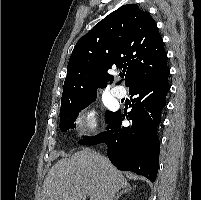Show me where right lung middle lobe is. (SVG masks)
<instances>
[{
    "instance_id": "obj_1",
    "label": "right lung middle lobe",
    "mask_w": 201,
    "mask_h": 200,
    "mask_svg": "<svg viewBox=\"0 0 201 200\" xmlns=\"http://www.w3.org/2000/svg\"><path fill=\"white\" fill-rule=\"evenodd\" d=\"M96 99V94L88 95L82 98L73 100H67L61 102V117H60V129L66 132L70 128H74V121L77 118L79 111L87 107L91 102ZM113 112H107L106 118L108 119Z\"/></svg>"
}]
</instances>
